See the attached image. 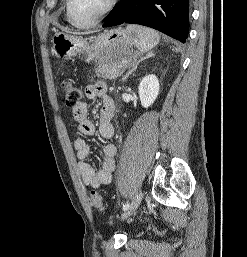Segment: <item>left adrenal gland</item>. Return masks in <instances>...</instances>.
Wrapping results in <instances>:
<instances>
[{
  "label": "left adrenal gland",
  "instance_id": "1",
  "mask_svg": "<svg viewBox=\"0 0 247 257\" xmlns=\"http://www.w3.org/2000/svg\"><path fill=\"white\" fill-rule=\"evenodd\" d=\"M153 56V53L150 52L148 53L145 57L141 58L140 60H138L137 62H134L133 65H132V69L129 70L126 75L124 76L123 78V81H126V79L129 77V75H131L136 69H137V66L139 65L140 62H142L143 60L149 58V57H152Z\"/></svg>",
  "mask_w": 247,
  "mask_h": 257
}]
</instances>
